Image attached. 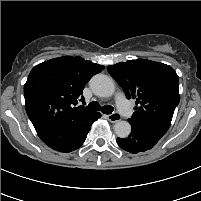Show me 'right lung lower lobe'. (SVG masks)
<instances>
[{"instance_id": "98d812e1", "label": "right lung lower lobe", "mask_w": 201, "mask_h": 201, "mask_svg": "<svg viewBox=\"0 0 201 201\" xmlns=\"http://www.w3.org/2000/svg\"><path fill=\"white\" fill-rule=\"evenodd\" d=\"M101 117L95 112L94 115L83 125L70 130H43L37 131L40 139L54 150L71 152L78 149L85 141L92 123Z\"/></svg>"}]
</instances>
